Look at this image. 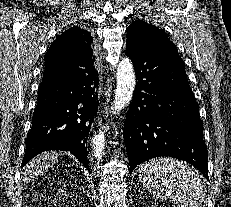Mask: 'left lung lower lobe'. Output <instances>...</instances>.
Instances as JSON below:
<instances>
[{"mask_svg":"<svg viewBox=\"0 0 231 207\" xmlns=\"http://www.w3.org/2000/svg\"><path fill=\"white\" fill-rule=\"evenodd\" d=\"M136 83L124 124L130 173L154 157L169 156L196 167L208 177L203 122L179 54L132 51Z\"/></svg>","mask_w":231,"mask_h":207,"instance_id":"obj_1","label":"left lung lower lobe"}]
</instances>
